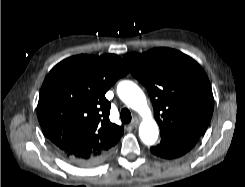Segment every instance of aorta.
Returning a JSON list of instances; mask_svg holds the SVG:
<instances>
[{
    "label": "aorta",
    "mask_w": 245,
    "mask_h": 187,
    "mask_svg": "<svg viewBox=\"0 0 245 187\" xmlns=\"http://www.w3.org/2000/svg\"><path fill=\"white\" fill-rule=\"evenodd\" d=\"M117 93L126 105L146 116L140 124L139 136L146 145L154 144L159 134L158 126L150 116V110L143 91L132 81L125 80L118 84Z\"/></svg>",
    "instance_id": "obj_1"
}]
</instances>
